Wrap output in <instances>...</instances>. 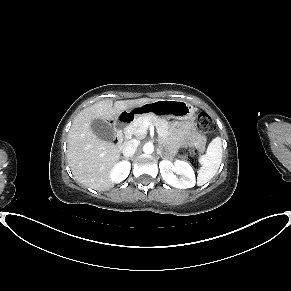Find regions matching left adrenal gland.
<instances>
[{"mask_svg": "<svg viewBox=\"0 0 291 291\" xmlns=\"http://www.w3.org/2000/svg\"><path fill=\"white\" fill-rule=\"evenodd\" d=\"M161 149H162L161 147H159V148L157 149V154L160 155L161 158L164 159V156L162 155V151H161Z\"/></svg>", "mask_w": 291, "mask_h": 291, "instance_id": "left-adrenal-gland-1", "label": "left adrenal gland"}]
</instances>
